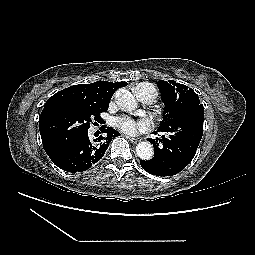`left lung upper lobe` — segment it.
Wrapping results in <instances>:
<instances>
[{
    "instance_id": "left-lung-upper-lobe-1",
    "label": "left lung upper lobe",
    "mask_w": 255,
    "mask_h": 255,
    "mask_svg": "<svg viewBox=\"0 0 255 255\" xmlns=\"http://www.w3.org/2000/svg\"><path fill=\"white\" fill-rule=\"evenodd\" d=\"M157 85L165 105L160 127H168L184 119L190 123L195 118L196 112L204 109L198 95L191 88L174 80H160Z\"/></svg>"
}]
</instances>
